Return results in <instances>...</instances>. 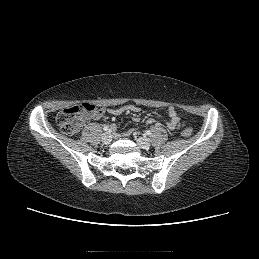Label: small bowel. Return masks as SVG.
<instances>
[{"mask_svg": "<svg viewBox=\"0 0 259 259\" xmlns=\"http://www.w3.org/2000/svg\"><path fill=\"white\" fill-rule=\"evenodd\" d=\"M127 112H133V113H138L140 112V108L134 104H128L124 105L121 107H113L109 108L107 110L105 109H97L93 114H91L92 119H99L101 118L104 113H108L112 116H118L123 113ZM167 114H168V121H167V127L170 130H176L181 126L180 118L177 115V112L174 107H169L167 109ZM149 124H154L156 123V117L153 112L150 113V117L147 121Z\"/></svg>", "mask_w": 259, "mask_h": 259, "instance_id": "c3829d8e", "label": "small bowel"}]
</instances>
